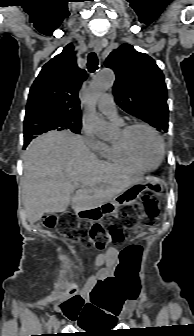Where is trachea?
I'll use <instances>...</instances> for the list:
<instances>
[{
  "label": "trachea",
  "instance_id": "1",
  "mask_svg": "<svg viewBox=\"0 0 194 336\" xmlns=\"http://www.w3.org/2000/svg\"><path fill=\"white\" fill-rule=\"evenodd\" d=\"M87 67L91 73L98 69V58L94 52L90 53L88 56Z\"/></svg>",
  "mask_w": 194,
  "mask_h": 336
}]
</instances>
